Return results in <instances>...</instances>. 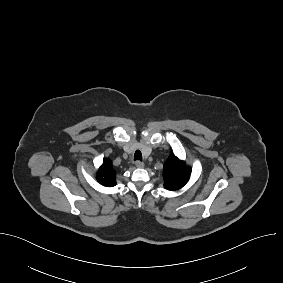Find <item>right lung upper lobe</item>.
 <instances>
[{
  "mask_svg": "<svg viewBox=\"0 0 283 283\" xmlns=\"http://www.w3.org/2000/svg\"><path fill=\"white\" fill-rule=\"evenodd\" d=\"M97 179L104 186L112 187L116 184L115 172L112 169V164L109 163L108 160L104 161L100 167Z\"/></svg>",
  "mask_w": 283,
  "mask_h": 283,
  "instance_id": "right-lung-upper-lobe-1",
  "label": "right lung upper lobe"
}]
</instances>
